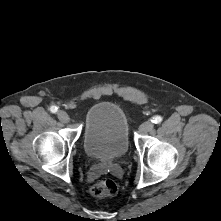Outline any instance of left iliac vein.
Here are the masks:
<instances>
[{"mask_svg":"<svg viewBox=\"0 0 221 221\" xmlns=\"http://www.w3.org/2000/svg\"><path fill=\"white\" fill-rule=\"evenodd\" d=\"M153 126H154V125H153L152 122L146 121V122H144V123H142V124L140 125L139 130H140L141 132H148V131H150V130L153 129Z\"/></svg>","mask_w":221,"mask_h":221,"instance_id":"4c4485c4","label":"left iliac vein"}]
</instances>
